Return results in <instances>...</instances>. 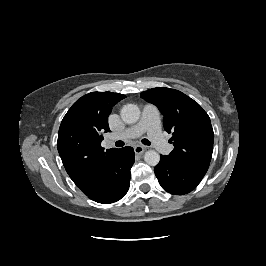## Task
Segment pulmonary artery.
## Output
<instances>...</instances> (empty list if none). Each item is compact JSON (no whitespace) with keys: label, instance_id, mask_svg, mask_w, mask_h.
I'll use <instances>...</instances> for the list:
<instances>
[{"label":"pulmonary artery","instance_id":"e3ab8cb5","mask_svg":"<svg viewBox=\"0 0 266 266\" xmlns=\"http://www.w3.org/2000/svg\"><path fill=\"white\" fill-rule=\"evenodd\" d=\"M147 132L155 149L160 152H168L171 145L166 141L163 136L161 128V118L158 109L151 104H146L143 108L140 121L120 133L112 135V139L116 138H136L142 133Z\"/></svg>","mask_w":266,"mask_h":266}]
</instances>
